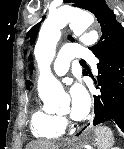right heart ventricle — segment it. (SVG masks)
<instances>
[{"mask_svg":"<svg viewBox=\"0 0 124 149\" xmlns=\"http://www.w3.org/2000/svg\"><path fill=\"white\" fill-rule=\"evenodd\" d=\"M29 127L32 136L43 142L56 140L65 133L61 118L42 107H36L31 112Z\"/></svg>","mask_w":124,"mask_h":149,"instance_id":"obj_1","label":"right heart ventricle"}]
</instances>
